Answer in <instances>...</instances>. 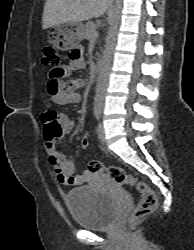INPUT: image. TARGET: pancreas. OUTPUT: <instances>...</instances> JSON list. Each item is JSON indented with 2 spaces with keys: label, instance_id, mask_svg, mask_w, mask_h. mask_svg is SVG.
<instances>
[{
  "label": "pancreas",
  "instance_id": "1",
  "mask_svg": "<svg viewBox=\"0 0 194 250\" xmlns=\"http://www.w3.org/2000/svg\"><path fill=\"white\" fill-rule=\"evenodd\" d=\"M95 31H96V25L91 21L87 22L84 29V38L87 40L95 39L96 38L94 36Z\"/></svg>",
  "mask_w": 194,
  "mask_h": 250
}]
</instances>
